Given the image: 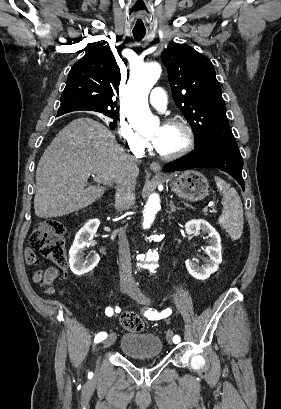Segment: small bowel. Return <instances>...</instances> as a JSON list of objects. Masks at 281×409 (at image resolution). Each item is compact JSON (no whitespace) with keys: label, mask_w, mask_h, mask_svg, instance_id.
<instances>
[{"label":"small bowel","mask_w":281,"mask_h":409,"mask_svg":"<svg viewBox=\"0 0 281 409\" xmlns=\"http://www.w3.org/2000/svg\"><path fill=\"white\" fill-rule=\"evenodd\" d=\"M23 255H24V258L26 259L25 265L27 267H34L36 264H38L37 257L34 254L33 250H29V248H27L24 251ZM59 277H60V269L55 266H50L43 271L37 270L33 273V276H32L34 282H37V283L40 282L42 286L45 288L46 293L49 295H53L57 292L62 293L61 290H58L54 286L55 280H57Z\"/></svg>","instance_id":"1"}]
</instances>
